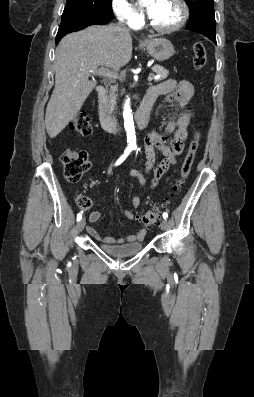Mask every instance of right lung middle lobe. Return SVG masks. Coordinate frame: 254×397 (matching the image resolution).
Masks as SVG:
<instances>
[{"label":"right lung middle lobe","instance_id":"obj_1","mask_svg":"<svg viewBox=\"0 0 254 397\" xmlns=\"http://www.w3.org/2000/svg\"><path fill=\"white\" fill-rule=\"evenodd\" d=\"M65 9H74L96 16L113 14L112 0H67Z\"/></svg>","mask_w":254,"mask_h":397}]
</instances>
